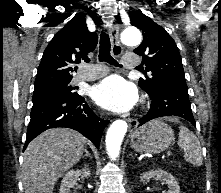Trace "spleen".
<instances>
[{
    "instance_id": "spleen-1",
    "label": "spleen",
    "mask_w": 221,
    "mask_h": 193,
    "mask_svg": "<svg viewBox=\"0 0 221 193\" xmlns=\"http://www.w3.org/2000/svg\"><path fill=\"white\" fill-rule=\"evenodd\" d=\"M178 146L184 150L185 159L196 166L202 165V151L197 137L186 127L180 126Z\"/></svg>"
}]
</instances>
